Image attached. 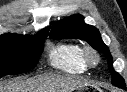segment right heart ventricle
I'll use <instances>...</instances> for the list:
<instances>
[{"label": "right heart ventricle", "instance_id": "right-heart-ventricle-1", "mask_svg": "<svg viewBox=\"0 0 127 92\" xmlns=\"http://www.w3.org/2000/svg\"><path fill=\"white\" fill-rule=\"evenodd\" d=\"M49 64L64 73L80 74L87 70L82 56V48L75 43H60L50 48Z\"/></svg>", "mask_w": 127, "mask_h": 92}]
</instances>
